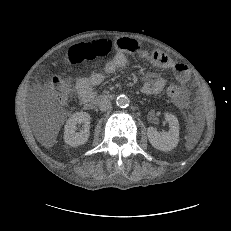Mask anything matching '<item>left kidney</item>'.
Here are the masks:
<instances>
[{"label":"left kidney","instance_id":"1","mask_svg":"<svg viewBox=\"0 0 231 231\" xmlns=\"http://www.w3.org/2000/svg\"><path fill=\"white\" fill-rule=\"evenodd\" d=\"M165 120L169 124V131L159 133L153 127L147 129V136L151 145L161 151H170L174 149L179 142V122L173 115L166 113Z\"/></svg>","mask_w":231,"mask_h":231}]
</instances>
